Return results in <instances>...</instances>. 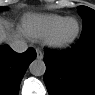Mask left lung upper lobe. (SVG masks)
I'll return each instance as SVG.
<instances>
[{"instance_id":"left-lung-upper-lobe-1","label":"left lung upper lobe","mask_w":95,"mask_h":95,"mask_svg":"<svg viewBox=\"0 0 95 95\" xmlns=\"http://www.w3.org/2000/svg\"><path fill=\"white\" fill-rule=\"evenodd\" d=\"M78 9L83 20V29L81 35L89 32H95V11L86 6H79Z\"/></svg>"}]
</instances>
